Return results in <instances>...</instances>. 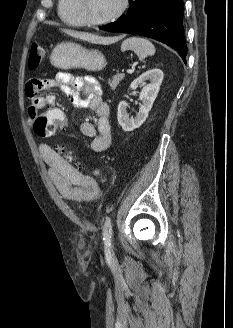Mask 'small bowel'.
I'll return each instance as SVG.
<instances>
[{
  "instance_id": "small-bowel-1",
  "label": "small bowel",
  "mask_w": 233,
  "mask_h": 328,
  "mask_svg": "<svg viewBox=\"0 0 233 328\" xmlns=\"http://www.w3.org/2000/svg\"><path fill=\"white\" fill-rule=\"evenodd\" d=\"M49 89H59L78 108H90L97 114V124L83 122L81 133L91 138L90 147L95 152H105L113 145V133L110 122V109L103 100V90L99 82L91 76L73 77L60 72L53 79H33L26 85V95L30 100L28 119L33 121L39 111L49 107L55 100L53 95L41 93ZM44 162L48 166L50 180L66 199L72 201H90L100 192L98 183L91 176L81 173L64 159L55 149L45 143L39 145Z\"/></svg>"
}]
</instances>
